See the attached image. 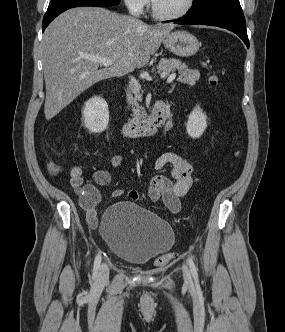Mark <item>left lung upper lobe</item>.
Wrapping results in <instances>:
<instances>
[{
	"instance_id": "5c2ea615",
	"label": "left lung upper lobe",
	"mask_w": 285,
	"mask_h": 332,
	"mask_svg": "<svg viewBox=\"0 0 285 332\" xmlns=\"http://www.w3.org/2000/svg\"><path fill=\"white\" fill-rule=\"evenodd\" d=\"M229 6H240V2L239 0H194L188 14L202 13Z\"/></svg>"
}]
</instances>
